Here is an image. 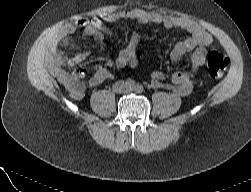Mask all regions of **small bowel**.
<instances>
[{
    "label": "small bowel",
    "instance_id": "obj_1",
    "mask_svg": "<svg viewBox=\"0 0 251 192\" xmlns=\"http://www.w3.org/2000/svg\"><path fill=\"white\" fill-rule=\"evenodd\" d=\"M119 20H133L142 24H154L167 29L177 28L190 34L186 40L177 42L172 51L171 59L174 62L180 61L186 53H190L191 69L188 72H174L170 76L173 83L172 91L178 96L188 95L193 87L195 75L198 69L205 63L207 47L211 44V36L196 22L182 17L161 16L155 13H148L143 10H131L120 13L103 12L89 20H82L75 23L65 24L47 43V54L52 60V67L69 90L74 99H81L88 88L100 85L105 80L110 79L112 74L103 67H97L92 75L81 81L83 72L65 70L66 66L73 67L83 62L88 56L87 52H79L71 57H66L59 51L60 46H65L68 37L77 28H83L85 34L102 38L103 25L114 23ZM138 43L139 38L134 37L130 43L118 53L116 64L118 67H135L138 63ZM166 76L161 71H154L151 74V86L154 88L165 87L163 80Z\"/></svg>",
    "mask_w": 251,
    "mask_h": 192
}]
</instances>
